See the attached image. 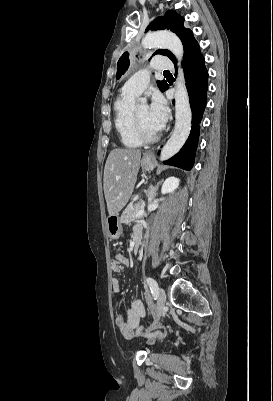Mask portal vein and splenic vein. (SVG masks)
Segmentation results:
<instances>
[{"instance_id":"obj_1","label":"portal vein and splenic vein","mask_w":273,"mask_h":401,"mask_svg":"<svg viewBox=\"0 0 273 401\" xmlns=\"http://www.w3.org/2000/svg\"><path fill=\"white\" fill-rule=\"evenodd\" d=\"M145 205H146V202L142 201L141 205L138 206L139 213H137V215H135V217H140V215H143V213L145 212Z\"/></svg>"}]
</instances>
